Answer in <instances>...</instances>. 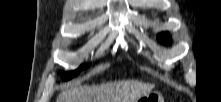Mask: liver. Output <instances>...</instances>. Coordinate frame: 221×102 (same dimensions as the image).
Masks as SVG:
<instances>
[{"mask_svg": "<svg viewBox=\"0 0 221 102\" xmlns=\"http://www.w3.org/2000/svg\"><path fill=\"white\" fill-rule=\"evenodd\" d=\"M153 88V84L136 80L69 86L60 93L57 102H137Z\"/></svg>", "mask_w": 221, "mask_h": 102, "instance_id": "liver-1", "label": "liver"}]
</instances>
